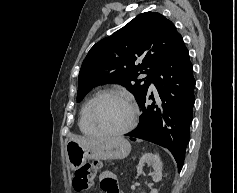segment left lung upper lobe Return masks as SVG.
Returning <instances> with one entry per match:
<instances>
[{
  "mask_svg": "<svg viewBox=\"0 0 237 193\" xmlns=\"http://www.w3.org/2000/svg\"><path fill=\"white\" fill-rule=\"evenodd\" d=\"M182 40L174 24L157 12H145L96 43L79 73L77 101L93 87L117 83L130 90L138 104L161 64ZM148 76L138 79L140 74Z\"/></svg>",
  "mask_w": 237,
  "mask_h": 193,
  "instance_id": "1",
  "label": "left lung upper lobe"
}]
</instances>
